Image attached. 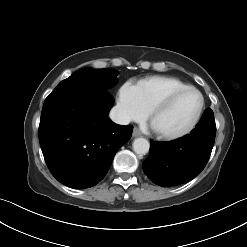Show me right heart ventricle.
<instances>
[{
  "instance_id": "e07e8e85",
  "label": "right heart ventricle",
  "mask_w": 247,
  "mask_h": 247,
  "mask_svg": "<svg viewBox=\"0 0 247 247\" xmlns=\"http://www.w3.org/2000/svg\"><path fill=\"white\" fill-rule=\"evenodd\" d=\"M185 87L189 85L177 78L166 76H151L135 85L140 101L147 111L170 92Z\"/></svg>"
}]
</instances>
